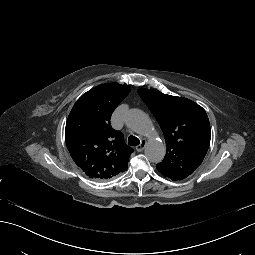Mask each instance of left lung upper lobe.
<instances>
[{
	"mask_svg": "<svg viewBox=\"0 0 255 255\" xmlns=\"http://www.w3.org/2000/svg\"><path fill=\"white\" fill-rule=\"evenodd\" d=\"M138 93L157 119L167 144L158 171L173 181L192 174L203 161L210 145V124L205 110L195 102L157 90Z\"/></svg>",
	"mask_w": 255,
	"mask_h": 255,
	"instance_id": "1",
	"label": "left lung upper lobe"
}]
</instances>
